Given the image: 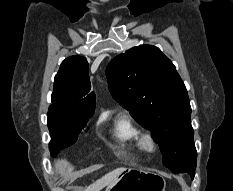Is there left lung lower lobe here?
I'll return each mask as SVG.
<instances>
[{
	"instance_id": "left-lung-lower-lobe-1",
	"label": "left lung lower lobe",
	"mask_w": 233,
	"mask_h": 191,
	"mask_svg": "<svg viewBox=\"0 0 233 191\" xmlns=\"http://www.w3.org/2000/svg\"><path fill=\"white\" fill-rule=\"evenodd\" d=\"M195 168L196 166H187L184 168H181L179 170L172 171L173 173H188L192 179H194L195 176Z\"/></svg>"
}]
</instances>
